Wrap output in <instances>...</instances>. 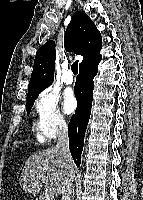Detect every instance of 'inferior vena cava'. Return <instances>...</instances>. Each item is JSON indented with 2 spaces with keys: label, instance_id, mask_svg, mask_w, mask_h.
<instances>
[{
  "label": "inferior vena cava",
  "instance_id": "602c4592",
  "mask_svg": "<svg viewBox=\"0 0 143 200\" xmlns=\"http://www.w3.org/2000/svg\"><path fill=\"white\" fill-rule=\"evenodd\" d=\"M56 148L67 158L68 162L72 161L69 151L68 128L64 120H61L58 124ZM73 181L74 174L71 172L64 181L61 200H72Z\"/></svg>",
  "mask_w": 143,
  "mask_h": 200
}]
</instances>
